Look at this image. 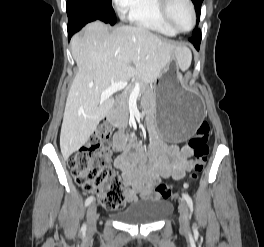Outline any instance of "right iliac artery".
Segmentation results:
<instances>
[{"mask_svg": "<svg viewBox=\"0 0 264 247\" xmlns=\"http://www.w3.org/2000/svg\"><path fill=\"white\" fill-rule=\"evenodd\" d=\"M94 200V197L93 196H90L86 199L85 201V206H88L92 201ZM81 231L82 232H85L86 231V225L83 224L82 228H81Z\"/></svg>", "mask_w": 264, "mask_h": 247, "instance_id": "obj_1", "label": "right iliac artery"}]
</instances>
